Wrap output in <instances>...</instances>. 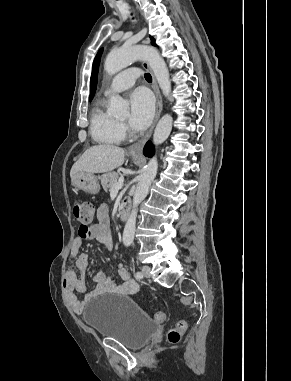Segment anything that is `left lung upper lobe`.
<instances>
[{"label": "left lung upper lobe", "mask_w": 291, "mask_h": 381, "mask_svg": "<svg viewBox=\"0 0 291 381\" xmlns=\"http://www.w3.org/2000/svg\"><path fill=\"white\" fill-rule=\"evenodd\" d=\"M150 38L152 40V44L156 45L153 37H150ZM101 54H102V49L97 53V55L94 59L93 66H92V74H91V81H90V83H91L90 99L93 98V96L96 92V88H97L98 67H99V63H100Z\"/></svg>", "instance_id": "obj_1"}]
</instances>
